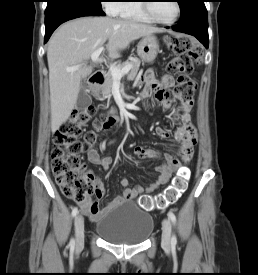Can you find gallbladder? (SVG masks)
Returning a JSON list of instances; mask_svg holds the SVG:
<instances>
[{
	"mask_svg": "<svg viewBox=\"0 0 258 275\" xmlns=\"http://www.w3.org/2000/svg\"><path fill=\"white\" fill-rule=\"evenodd\" d=\"M92 103V98L87 90L86 81H81L80 91L77 97L75 108L79 111H85Z\"/></svg>",
	"mask_w": 258,
	"mask_h": 275,
	"instance_id": "obj_1",
	"label": "gallbladder"
}]
</instances>
